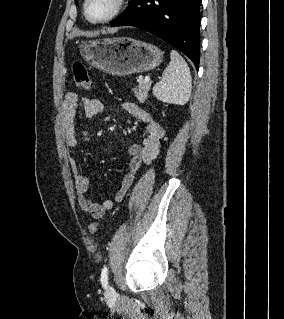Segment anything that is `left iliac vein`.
I'll use <instances>...</instances> for the list:
<instances>
[{"instance_id":"obj_1","label":"left iliac vein","mask_w":284,"mask_h":319,"mask_svg":"<svg viewBox=\"0 0 284 319\" xmlns=\"http://www.w3.org/2000/svg\"><path fill=\"white\" fill-rule=\"evenodd\" d=\"M113 291H114V289H113L111 286H109V287L107 288V292H108V293H113Z\"/></svg>"}]
</instances>
